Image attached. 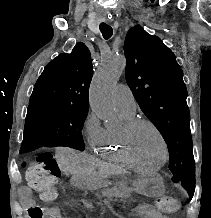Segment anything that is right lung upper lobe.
I'll list each match as a JSON object with an SVG mask.
<instances>
[{
  "mask_svg": "<svg viewBox=\"0 0 211 218\" xmlns=\"http://www.w3.org/2000/svg\"><path fill=\"white\" fill-rule=\"evenodd\" d=\"M93 75L90 51L77 43L46 65L38 78L29 105L56 104L89 108L88 90Z\"/></svg>",
  "mask_w": 211,
  "mask_h": 218,
  "instance_id": "cb5924a9",
  "label": "right lung upper lobe"
}]
</instances>
